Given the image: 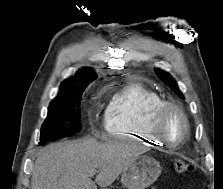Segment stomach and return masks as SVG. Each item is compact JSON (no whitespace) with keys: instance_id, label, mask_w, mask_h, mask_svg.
Wrapping results in <instances>:
<instances>
[{"instance_id":"0dacf381","label":"stomach","mask_w":223,"mask_h":189,"mask_svg":"<svg viewBox=\"0 0 223 189\" xmlns=\"http://www.w3.org/2000/svg\"><path fill=\"white\" fill-rule=\"evenodd\" d=\"M160 163L147 155L135 157L124 169L121 183L127 189H145L160 175Z\"/></svg>"}]
</instances>
